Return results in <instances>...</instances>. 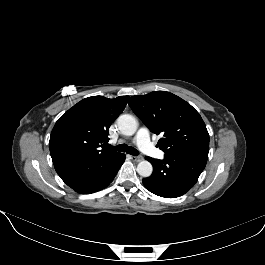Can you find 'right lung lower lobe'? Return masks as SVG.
Masks as SVG:
<instances>
[{"mask_svg": "<svg viewBox=\"0 0 265 265\" xmlns=\"http://www.w3.org/2000/svg\"><path fill=\"white\" fill-rule=\"evenodd\" d=\"M125 161L122 153L101 158H87L54 165L60 178L73 190L82 194L99 191L108 186Z\"/></svg>", "mask_w": 265, "mask_h": 265, "instance_id": "right-lung-lower-lobe-1", "label": "right lung lower lobe"}]
</instances>
